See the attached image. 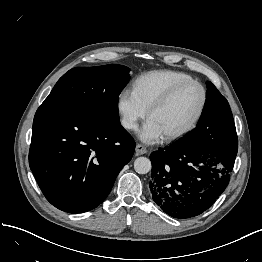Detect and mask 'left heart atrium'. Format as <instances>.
Listing matches in <instances>:
<instances>
[{
	"label": "left heart atrium",
	"instance_id": "obj_1",
	"mask_svg": "<svg viewBox=\"0 0 262 262\" xmlns=\"http://www.w3.org/2000/svg\"><path fill=\"white\" fill-rule=\"evenodd\" d=\"M162 131L156 123L149 119L139 132V138L145 143H154L163 137Z\"/></svg>",
	"mask_w": 262,
	"mask_h": 262
}]
</instances>
